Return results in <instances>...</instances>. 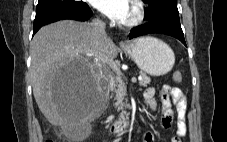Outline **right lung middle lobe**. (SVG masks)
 Returning a JSON list of instances; mask_svg holds the SVG:
<instances>
[{"label":"right lung middle lobe","instance_id":"dd1d6c3e","mask_svg":"<svg viewBox=\"0 0 227 142\" xmlns=\"http://www.w3.org/2000/svg\"><path fill=\"white\" fill-rule=\"evenodd\" d=\"M86 5L81 0H38L36 12L57 9V8H70Z\"/></svg>","mask_w":227,"mask_h":142}]
</instances>
